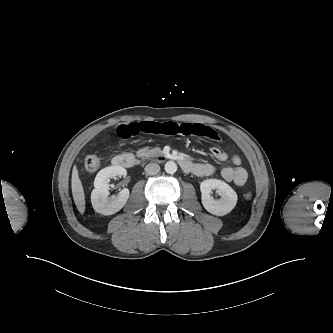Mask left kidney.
<instances>
[{"label": "left kidney", "instance_id": "left-kidney-1", "mask_svg": "<svg viewBox=\"0 0 333 333\" xmlns=\"http://www.w3.org/2000/svg\"><path fill=\"white\" fill-rule=\"evenodd\" d=\"M213 189H217L221 193L220 199H214L211 196ZM200 190L203 207L213 215L224 216L230 213L237 203L238 197L236 192L221 180H204L200 185Z\"/></svg>", "mask_w": 333, "mask_h": 333}]
</instances>
